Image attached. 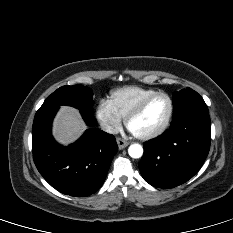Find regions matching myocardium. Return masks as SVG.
I'll return each mask as SVG.
<instances>
[{
  "instance_id": "myocardium-1",
  "label": "myocardium",
  "mask_w": 233,
  "mask_h": 233,
  "mask_svg": "<svg viewBox=\"0 0 233 233\" xmlns=\"http://www.w3.org/2000/svg\"><path fill=\"white\" fill-rule=\"evenodd\" d=\"M159 96L165 97L169 103V111H168V114H167V117H166L164 123L161 125L160 128H158L157 130H155L151 133L136 134V133L132 132L136 138L141 139V140H151V139L157 138L160 135H162L170 126V123H171L172 117H173V113H174V102L169 94H167L165 92H160V91H157V92L147 96L141 102H139L125 117V124H126L127 128L130 130L129 125H130L131 120L133 118H135L136 116H138L153 99H155L156 97H159Z\"/></svg>"
}]
</instances>
